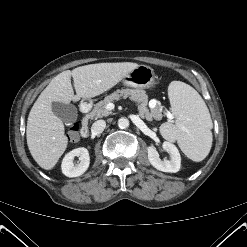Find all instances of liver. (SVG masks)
Wrapping results in <instances>:
<instances>
[{"mask_svg":"<svg viewBox=\"0 0 247 247\" xmlns=\"http://www.w3.org/2000/svg\"><path fill=\"white\" fill-rule=\"evenodd\" d=\"M138 66L131 62L90 64L64 71L51 80L31 108L26 129L29 151L41 168L52 169L68 144L64 124L53 113L52 103L69 104L81 98L98 96L114 87Z\"/></svg>","mask_w":247,"mask_h":247,"instance_id":"obj_1","label":"liver"}]
</instances>
